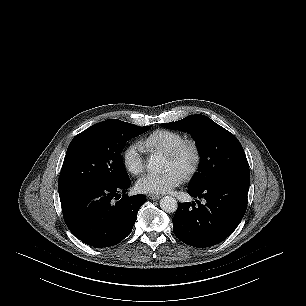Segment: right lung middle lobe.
<instances>
[{"label": "right lung middle lobe", "instance_id": "obj_1", "mask_svg": "<svg viewBox=\"0 0 306 306\" xmlns=\"http://www.w3.org/2000/svg\"><path fill=\"white\" fill-rule=\"evenodd\" d=\"M150 128L110 119L76 135L63 162L59 194L88 183L119 184L129 180L121 151L129 139Z\"/></svg>", "mask_w": 306, "mask_h": 306}]
</instances>
